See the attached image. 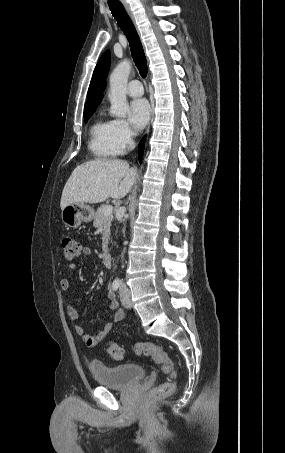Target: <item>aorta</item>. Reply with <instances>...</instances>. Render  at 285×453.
Returning <instances> with one entry per match:
<instances>
[{
	"label": "aorta",
	"mask_w": 285,
	"mask_h": 453,
	"mask_svg": "<svg viewBox=\"0 0 285 453\" xmlns=\"http://www.w3.org/2000/svg\"><path fill=\"white\" fill-rule=\"evenodd\" d=\"M131 68V63L128 60H123L110 75V91L108 95L111 102L110 112L116 117L124 118L129 109L126 92Z\"/></svg>",
	"instance_id": "obj_1"
}]
</instances>
